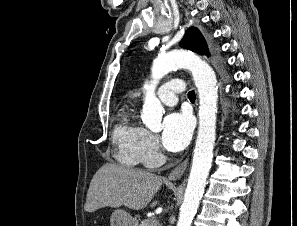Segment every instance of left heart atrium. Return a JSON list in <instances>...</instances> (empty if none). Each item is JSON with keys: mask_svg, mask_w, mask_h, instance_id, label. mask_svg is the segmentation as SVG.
<instances>
[{"mask_svg": "<svg viewBox=\"0 0 297 226\" xmlns=\"http://www.w3.org/2000/svg\"><path fill=\"white\" fill-rule=\"evenodd\" d=\"M192 135V122L183 112H174L167 115L163 121L162 143L172 152L183 150L189 143Z\"/></svg>", "mask_w": 297, "mask_h": 226, "instance_id": "left-heart-atrium-1", "label": "left heart atrium"}]
</instances>
